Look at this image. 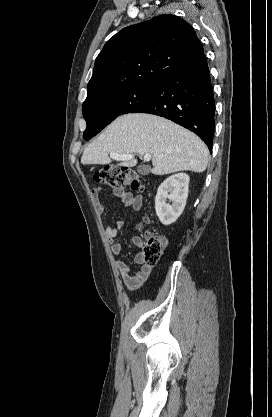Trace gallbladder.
Returning a JSON list of instances; mask_svg holds the SVG:
<instances>
[{
    "label": "gallbladder",
    "instance_id": "gallbladder-1",
    "mask_svg": "<svg viewBox=\"0 0 272 417\" xmlns=\"http://www.w3.org/2000/svg\"><path fill=\"white\" fill-rule=\"evenodd\" d=\"M137 171L141 175H148L150 173V167L147 165H140L138 166Z\"/></svg>",
    "mask_w": 272,
    "mask_h": 417
}]
</instances>
